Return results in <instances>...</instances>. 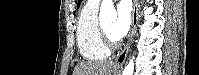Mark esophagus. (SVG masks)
<instances>
[{
    "label": "esophagus",
    "mask_w": 199,
    "mask_h": 75,
    "mask_svg": "<svg viewBox=\"0 0 199 75\" xmlns=\"http://www.w3.org/2000/svg\"><path fill=\"white\" fill-rule=\"evenodd\" d=\"M137 0H133V9H132V26H131V30L129 33V38L127 41V44L125 45V47L123 48V50L118 54V56L115 59V65L116 66H123L128 51L130 49L134 34L136 32V26H137V21H138V17H137V13H138V6H137Z\"/></svg>",
    "instance_id": "1"
}]
</instances>
